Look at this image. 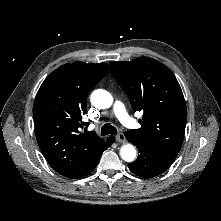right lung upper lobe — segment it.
<instances>
[{
  "label": "right lung upper lobe",
  "instance_id": "obj_1",
  "mask_svg": "<svg viewBox=\"0 0 221 221\" xmlns=\"http://www.w3.org/2000/svg\"><path fill=\"white\" fill-rule=\"evenodd\" d=\"M108 72L107 64H66L49 74L37 92L36 139L52 168L65 177L76 178L105 146L94 131L82 133L81 128L88 93Z\"/></svg>",
  "mask_w": 221,
  "mask_h": 221
}]
</instances>
